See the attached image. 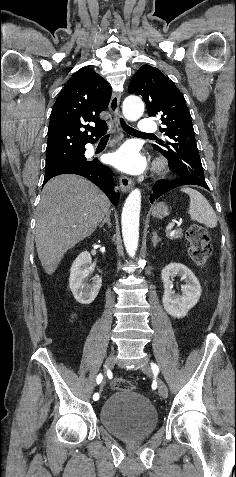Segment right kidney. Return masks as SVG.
Masks as SVG:
<instances>
[{
    "mask_svg": "<svg viewBox=\"0 0 236 477\" xmlns=\"http://www.w3.org/2000/svg\"><path fill=\"white\" fill-rule=\"evenodd\" d=\"M91 262L89 252H82L73 262L69 278V286L74 298L85 305L95 300L102 284L98 276L93 277L92 282L89 283V278L94 272Z\"/></svg>",
    "mask_w": 236,
    "mask_h": 477,
    "instance_id": "ca27d5eb",
    "label": "right kidney"
}]
</instances>
